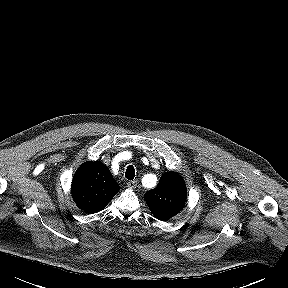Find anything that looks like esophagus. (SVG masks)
Wrapping results in <instances>:
<instances>
[{
	"instance_id": "esophagus-1",
	"label": "esophagus",
	"mask_w": 288,
	"mask_h": 288,
	"mask_svg": "<svg viewBox=\"0 0 288 288\" xmlns=\"http://www.w3.org/2000/svg\"><path fill=\"white\" fill-rule=\"evenodd\" d=\"M127 186H128V188H130V189H135V188L137 187V181H136V180L129 181V182L127 183Z\"/></svg>"
}]
</instances>
